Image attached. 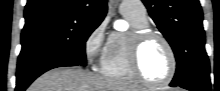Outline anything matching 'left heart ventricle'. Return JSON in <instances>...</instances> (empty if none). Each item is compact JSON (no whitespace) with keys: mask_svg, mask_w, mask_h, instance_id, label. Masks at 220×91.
<instances>
[{"mask_svg":"<svg viewBox=\"0 0 220 91\" xmlns=\"http://www.w3.org/2000/svg\"><path fill=\"white\" fill-rule=\"evenodd\" d=\"M170 56L158 39L146 42L140 53V68L143 75L155 82L164 80L170 72Z\"/></svg>","mask_w":220,"mask_h":91,"instance_id":"1","label":"left heart ventricle"}]
</instances>
